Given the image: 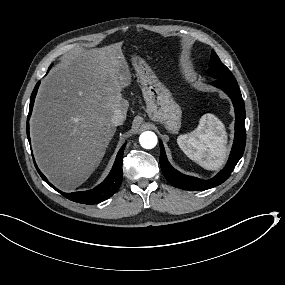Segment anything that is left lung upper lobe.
I'll return each mask as SVG.
<instances>
[{
    "instance_id": "5c2ea615",
    "label": "left lung upper lobe",
    "mask_w": 285,
    "mask_h": 285,
    "mask_svg": "<svg viewBox=\"0 0 285 285\" xmlns=\"http://www.w3.org/2000/svg\"><path fill=\"white\" fill-rule=\"evenodd\" d=\"M208 75L217 80L222 81H235L233 74L230 70L220 61L219 57L214 51L211 53L209 62Z\"/></svg>"
}]
</instances>
